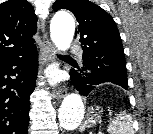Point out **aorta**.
Returning a JSON list of instances; mask_svg holds the SVG:
<instances>
[{
  "instance_id": "aorta-1",
  "label": "aorta",
  "mask_w": 153,
  "mask_h": 134,
  "mask_svg": "<svg viewBox=\"0 0 153 134\" xmlns=\"http://www.w3.org/2000/svg\"><path fill=\"white\" fill-rule=\"evenodd\" d=\"M51 39L58 50L65 51L69 48L74 32L75 22L67 13L54 16L50 25ZM84 117V104L78 94L67 95L58 112L60 126L66 130H74Z\"/></svg>"
}]
</instances>
